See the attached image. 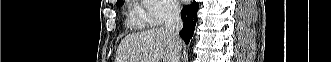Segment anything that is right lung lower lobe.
Here are the masks:
<instances>
[{"instance_id":"98d812e1","label":"right lung lower lobe","mask_w":331,"mask_h":62,"mask_svg":"<svg viewBox=\"0 0 331 62\" xmlns=\"http://www.w3.org/2000/svg\"><path fill=\"white\" fill-rule=\"evenodd\" d=\"M198 8V3L193 0V3L184 6L181 12V18L184 21V26L183 29L180 31V36L186 44H188L190 39L192 38L197 21Z\"/></svg>"}]
</instances>
